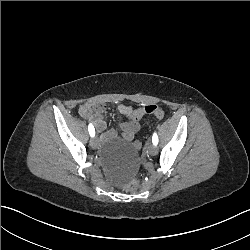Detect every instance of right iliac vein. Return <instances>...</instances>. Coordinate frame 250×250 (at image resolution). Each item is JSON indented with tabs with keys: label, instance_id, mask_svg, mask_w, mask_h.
Wrapping results in <instances>:
<instances>
[{
	"label": "right iliac vein",
	"instance_id": "right-iliac-vein-1",
	"mask_svg": "<svg viewBox=\"0 0 250 250\" xmlns=\"http://www.w3.org/2000/svg\"><path fill=\"white\" fill-rule=\"evenodd\" d=\"M90 146L93 148V149H97L98 146H99V142H98V138L97 137H94L91 139L90 141Z\"/></svg>",
	"mask_w": 250,
	"mask_h": 250
}]
</instances>
